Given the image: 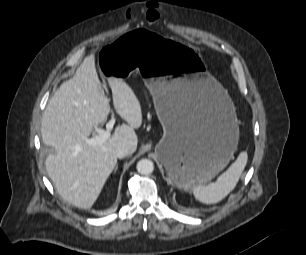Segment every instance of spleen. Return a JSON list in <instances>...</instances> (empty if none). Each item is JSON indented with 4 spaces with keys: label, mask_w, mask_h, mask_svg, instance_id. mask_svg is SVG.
Returning <instances> with one entry per match:
<instances>
[{
    "label": "spleen",
    "mask_w": 306,
    "mask_h": 255,
    "mask_svg": "<svg viewBox=\"0 0 306 255\" xmlns=\"http://www.w3.org/2000/svg\"><path fill=\"white\" fill-rule=\"evenodd\" d=\"M247 152H241L236 161L218 178L206 186L193 188L195 198L205 204H213L225 198L236 186L247 163Z\"/></svg>",
    "instance_id": "3e777b00"
}]
</instances>
